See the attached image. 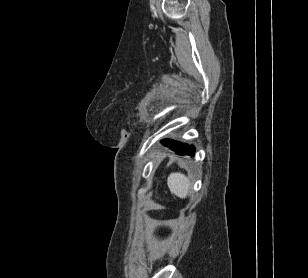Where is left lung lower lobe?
<instances>
[{"mask_svg":"<svg viewBox=\"0 0 308 278\" xmlns=\"http://www.w3.org/2000/svg\"><path fill=\"white\" fill-rule=\"evenodd\" d=\"M163 145L174 150L176 153H180L181 155L188 154L194 156L195 148L192 145L181 144L174 142L173 140H164Z\"/></svg>","mask_w":308,"mask_h":278,"instance_id":"left-lung-lower-lobe-1","label":"left lung lower lobe"}]
</instances>
